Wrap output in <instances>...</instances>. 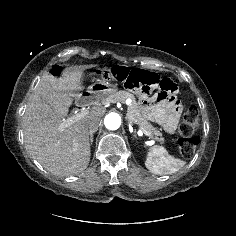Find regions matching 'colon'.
<instances>
[{"label": "colon", "mask_w": 236, "mask_h": 236, "mask_svg": "<svg viewBox=\"0 0 236 236\" xmlns=\"http://www.w3.org/2000/svg\"><path fill=\"white\" fill-rule=\"evenodd\" d=\"M59 68L53 69L54 74H59ZM100 75L106 80H115L122 83L130 91H136L143 95H153L162 91L163 95L174 94L175 86L169 79H161L155 74L140 70H130L123 66H114L104 69ZM199 124V113L196 108H189L179 127L178 145L180 153L184 157H191L200 143V138L195 135Z\"/></svg>", "instance_id": "1"}]
</instances>
